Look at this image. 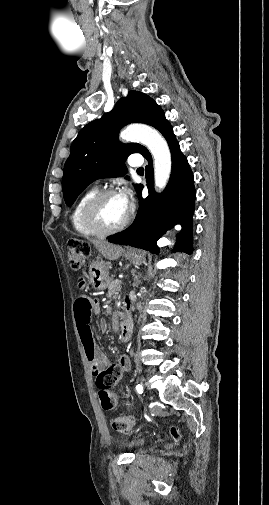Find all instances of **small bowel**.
<instances>
[{
    "label": "small bowel",
    "mask_w": 269,
    "mask_h": 505,
    "mask_svg": "<svg viewBox=\"0 0 269 505\" xmlns=\"http://www.w3.org/2000/svg\"><path fill=\"white\" fill-rule=\"evenodd\" d=\"M78 280H83V275H78ZM84 283H79L75 288L76 295L74 296L75 318L81 342L83 344L87 360L91 364L93 375L105 367H114L119 372V378L125 371L130 368V359L127 356L120 357L114 364L109 365L106 355L94 343L93 332L91 326L92 315H97L100 312V300L90 295V291L84 287ZM98 330L101 333L106 332L107 323L100 320Z\"/></svg>",
    "instance_id": "c3829d8e"
}]
</instances>
